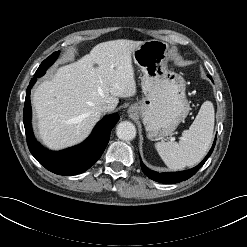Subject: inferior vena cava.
I'll list each match as a JSON object with an SVG mask.
<instances>
[{"mask_svg": "<svg viewBox=\"0 0 247 247\" xmlns=\"http://www.w3.org/2000/svg\"><path fill=\"white\" fill-rule=\"evenodd\" d=\"M100 111L103 113L110 112L113 110V107L110 104H103L99 107Z\"/></svg>", "mask_w": 247, "mask_h": 247, "instance_id": "1", "label": "inferior vena cava"}]
</instances>
